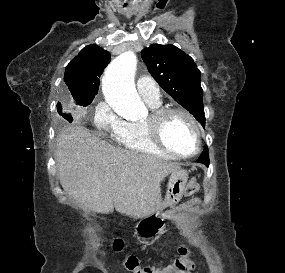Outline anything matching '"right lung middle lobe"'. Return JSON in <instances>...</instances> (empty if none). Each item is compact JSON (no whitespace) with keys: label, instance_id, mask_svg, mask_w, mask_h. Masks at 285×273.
<instances>
[{"label":"right lung middle lobe","instance_id":"right-lung-middle-lobe-1","mask_svg":"<svg viewBox=\"0 0 285 273\" xmlns=\"http://www.w3.org/2000/svg\"><path fill=\"white\" fill-rule=\"evenodd\" d=\"M91 102H92V101H87V102H83V103H78V105H81V106L86 107V106L89 105ZM57 107H58L57 110H58L59 114H60L61 116H63L66 120H68L69 122H72L73 118H72L70 115L62 113V111H61V105H60L59 103L57 104Z\"/></svg>","mask_w":285,"mask_h":273}]
</instances>
